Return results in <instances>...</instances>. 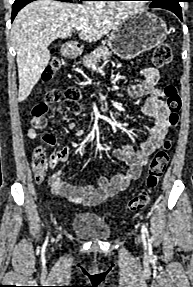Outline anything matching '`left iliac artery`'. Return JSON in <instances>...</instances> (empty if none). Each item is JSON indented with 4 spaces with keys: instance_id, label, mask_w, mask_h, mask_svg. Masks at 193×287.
<instances>
[{
    "instance_id": "left-iliac-artery-1",
    "label": "left iliac artery",
    "mask_w": 193,
    "mask_h": 287,
    "mask_svg": "<svg viewBox=\"0 0 193 287\" xmlns=\"http://www.w3.org/2000/svg\"><path fill=\"white\" fill-rule=\"evenodd\" d=\"M142 235L145 237V235H148L147 227L145 224L142 225Z\"/></svg>"
}]
</instances>
